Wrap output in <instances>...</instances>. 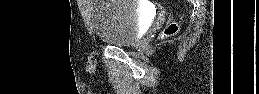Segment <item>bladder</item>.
<instances>
[{"label":"bladder","instance_id":"bladder-1","mask_svg":"<svg viewBox=\"0 0 259 94\" xmlns=\"http://www.w3.org/2000/svg\"><path fill=\"white\" fill-rule=\"evenodd\" d=\"M142 10L131 0L91 2V24L95 35L116 47L133 45L141 38Z\"/></svg>","mask_w":259,"mask_h":94}]
</instances>
